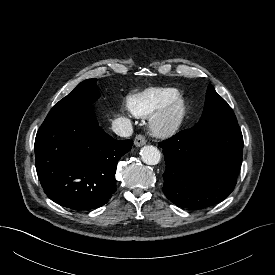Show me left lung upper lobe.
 <instances>
[{"label": "left lung upper lobe", "instance_id": "obj_1", "mask_svg": "<svg viewBox=\"0 0 275 275\" xmlns=\"http://www.w3.org/2000/svg\"><path fill=\"white\" fill-rule=\"evenodd\" d=\"M198 123L212 131L240 130L233 110L211 84L208 86L203 114Z\"/></svg>", "mask_w": 275, "mask_h": 275}]
</instances>
